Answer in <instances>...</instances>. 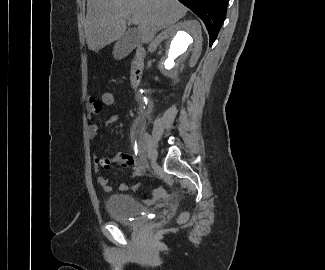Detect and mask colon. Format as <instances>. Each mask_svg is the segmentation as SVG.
Wrapping results in <instances>:
<instances>
[{
  "instance_id": "obj_1",
  "label": "colon",
  "mask_w": 325,
  "mask_h": 270,
  "mask_svg": "<svg viewBox=\"0 0 325 270\" xmlns=\"http://www.w3.org/2000/svg\"><path fill=\"white\" fill-rule=\"evenodd\" d=\"M101 102L103 103L104 106H112L115 103V95L111 91H105L101 95ZM167 196V192L163 188H157L153 191L151 198L153 200L159 199V198H164ZM187 220V214L183 213L179 221L180 222H185Z\"/></svg>"
}]
</instances>
